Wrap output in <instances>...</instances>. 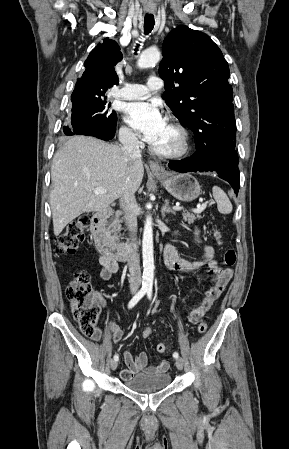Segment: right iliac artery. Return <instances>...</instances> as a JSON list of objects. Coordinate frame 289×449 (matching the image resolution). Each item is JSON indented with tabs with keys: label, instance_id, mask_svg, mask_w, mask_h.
Here are the masks:
<instances>
[{
	"label": "right iliac artery",
	"instance_id": "right-iliac-artery-1",
	"mask_svg": "<svg viewBox=\"0 0 289 449\" xmlns=\"http://www.w3.org/2000/svg\"><path fill=\"white\" fill-rule=\"evenodd\" d=\"M147 293V289L142 288L128 303V308L131 309L133 308L138 301ZM114 360L118 361L119 360V356L117 354L114 355Z\"/></svg>",
	"mask_w": 289,
	"mask_h": 449
}]
</instances>
